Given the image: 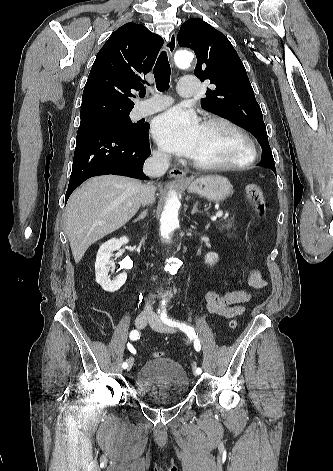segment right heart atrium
<instances>
[{
    "label": "right heart atrium",
    "mask_w": 333,
    "mask_h": 471,
    "mask_svg": "<svg viewBox=\"0 0 333 471\" xmlns=\"http://www.w3.org/2000/svg\"><path fill=\"white\" fill-rule=\"evenodd\" d=\"M155 157L159 162L165 163L168 160V156L163 151H156Z\"/></svg>",
    "instance_id": "right-heart-atrium-1"
}]
</instances>
